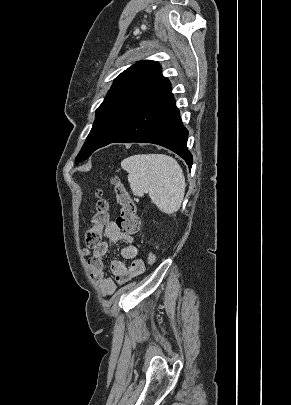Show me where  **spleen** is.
<instances>
[{
  "label": "spleen",
  "instance_id": "spleen-1",
  "mask_svg": "<svg viewBox=\"0 0 291 405\" xmlns=\"http://www.w3.org/2000/svg\"><path fill=\"white\" fill-rule=\"evenodd\" d=\"M128 172L131 191L149 194L151 202L166 214L177 212L185 194V177L178 162L165 154H138L121 162Z\"/></svg>",
  "mask_w": 291,
  "mask_h": 405
}]
</instances>
